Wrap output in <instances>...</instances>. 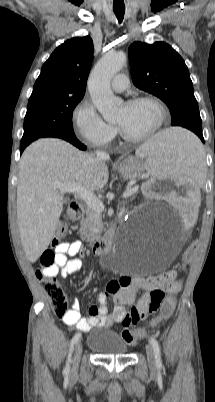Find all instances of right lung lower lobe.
I'll return each mask as SVG.
<instances>
[{"label": "right lung lower lobe", "mask_w": 215, "mask_h": 402, "mask_svg": "<svg viewBox=\"0 0 215 402\" xmlns=\"http://www.w3.org/2000/svg\"><path fill=\"white\" fill-rule=\"evenodd\" d=\"M62 139L70 142L71 144H73L74 146H76L77 148H79L81 150H86V146H84L81 142H79V140L76 138L75 134L70 137H65ZM26 146L27 145H20V153L23 152V150L26 148Z\"/></svg>", "instance_id": "98d812e1"}]
</instances>
